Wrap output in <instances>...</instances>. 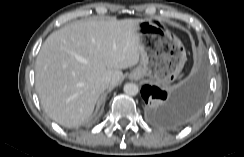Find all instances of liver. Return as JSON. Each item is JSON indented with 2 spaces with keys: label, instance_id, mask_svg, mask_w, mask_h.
<instances>
[{
  "label": "liver",
  "instance_id": "obj_1",
  "mask_svg": "<svg viewBox=\"0 0 244 157\" xmlns=\"http://www.w3.org/2000/svg\"><path fill=\"white\" fill-rule=\"evenodd\" d=\"M141 19H89L51 33L35 63V88L48 116L75 127L93 113L99 96L118 85L122 69L137 65ZM109 74V84L103 76Z\"/></svg>",
  "mask_w": 244,
  "mask_h": 157
}]
</instances>
